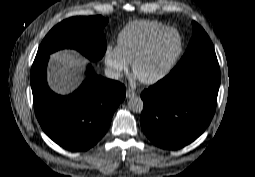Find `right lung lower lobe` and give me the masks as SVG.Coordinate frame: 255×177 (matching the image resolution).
Listing matches in <instances>:
<instances>
[{
    "label": "right lung lower lobe",
    "mask_w": 255,
    "mask_h": 177,
    "mask_svg": "<svg viewBox=\"0 0 255 177\" xmlns=\"http://www.w3.org/2000/svg\"><path fill=\"white\" fill-rule=\"evenodd\" d=\"M48 59L49 55L35 58L31 69L37 119L58 145L72 151L87 150L108 130L114 111L125 98V86L94 75L89 66L87 78L79 89L68 96H59L46 82Z\"/></svg>",
    "instance_id": "obj_1"
}]
</instances>
